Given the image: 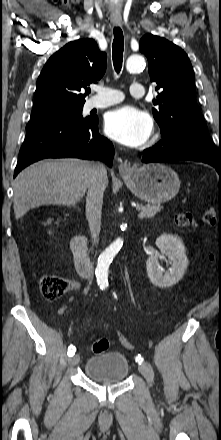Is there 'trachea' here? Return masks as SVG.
<instances>
[{
  "mask_svg": "<svg viewBox=\"0 0 221 440\" xmlns=\"http://www.w3.org/2000/svg\"><path fill=\"white\" fill-rule=\"evenodd\" d=\"M113 32H114V40L112 44L113 65L115 71L119 73L122 68V61H123L124 37H123V32L119 27H115Z\"/></svg>",
  "mask_w": 221,
  "mask_h": 440,
  "instance_id": "1",
  "label": "trachea"
}]
</instances>
